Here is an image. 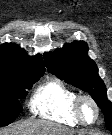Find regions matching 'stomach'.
<instances>
[{"mask_svg":"<svg viewBox=\"0 0 112 135\" xmlns=\"http://www.w3.org/2000/svg\"><path fill=\"white\" fill-rule=\"evenodd\" d=\"M74 135H95L94 133L91 132H76Z\"/></svg>","mask_w":112,"mask_h":135,"instance_id":"obj_1","label":"stomach"}]
</instances>
